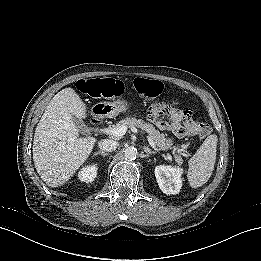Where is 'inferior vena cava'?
<instances>
[{
    "label": "inferior vena cava",
    "instance_id": "inferior-vena-cava-1",
    "mask_svg": "<svg viewBox=\"0 0 261 261\" xmlns=\"http://www.w3.org/2000/svg\"><path fill=\"white\" fill-rule=\"evenodd\" d=\"M116 142L109 139H103L98 142V147L101 151L111 152L116 149Z\"/></svg>",
    "mask_w": 261,
    "mask_h": 261
}]
</instances>
